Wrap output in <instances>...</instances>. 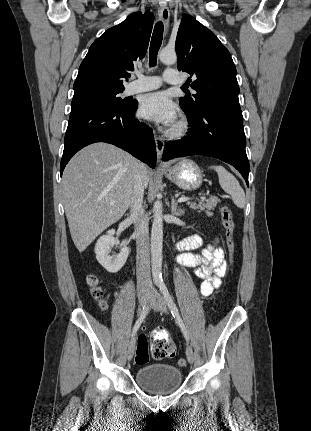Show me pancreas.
Listing matches in <instances>:
<instances>
[{
	"instance_id": "pancreas-1",
	"label": "pancreas",
	"mask_w": 311,
	"mask_h": 431,
	"mask_svg": "<svg viewBox=\"0 0 311 431\" xmlns=\"http://www.w3.org/2000/svg\"><path fill=\"white\" fill-rule=\"evenodd\" d=\"M180 194H184V192H180ZM220 200L215 198V196H211L209 200H200L198 204L196 202H192L189 204L192 210H199V212H205L207 216H213V210H215L217 204H219Z\"/></svg>"
}]
</instances>
